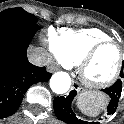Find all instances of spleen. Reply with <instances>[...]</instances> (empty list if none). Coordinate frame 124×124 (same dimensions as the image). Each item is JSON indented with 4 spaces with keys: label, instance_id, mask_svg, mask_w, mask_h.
Masks as SVG:
<instances>
[{
    "label": "spleen",
    "instance_id": "spleen-1",
    "mask_svg": "<svg viewBox=\"0 0 124 124\" xmlns=\"http://www.w3.org/2000/svg\"><path fill=\"white\" fill-rule=\"evenodd\" d=\"M103 98L104 102L102 103L101 101H92L85 95H80L78 97L77 105L84 113L88 115H97L99 113V108L105 104L106 99L104 96Z\"/></svg>",
    "mask_w": 124,
    "mask_h": 124
}]
</instances>
